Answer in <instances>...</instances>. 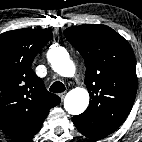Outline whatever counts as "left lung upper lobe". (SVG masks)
Masks as SVG:
<instances>
[{
  "label": "left lung upper lobe",
  "instance_id": "5c2ea615",
  "mask_svg": "<svg viewBox=\"0 0 142 142\" xmlns=\"http://www.w3.org/2000/svg\"><path fill=\"white\" fill-rule=\"evenodd\" d=\"M86 65L90 104L73 121L99 138L113 133L128 116L137 92L136 61L129 43L108 26L83 24L64 30Z\"/></svg>",
  "mask_w": 142,
  "mask_h": 142
}]
</instances>
